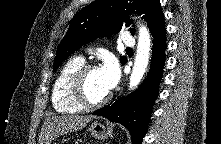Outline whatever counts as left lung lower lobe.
<instances>
[{"label": "left lung lower lobe", "instance_id": "left-lung-lower-lobe-1", "mask_svg": "<svg viewBox=\"0 0 221 144\" xmlns=\"http://www.w3.org/2000/svg\"><path fill=\"white\" fill-rule=\"evenodd\" d=\"M153 52L147 78L140 87L127 97H121L114 103L93 112L127 127L132 143L141 144L149 124L152 107L158 95V86L162 80L165 65L166 28L162 16L151 29Z\"/></svg>", "mask_w": 221, "mask_h": 144}]
</instances>
